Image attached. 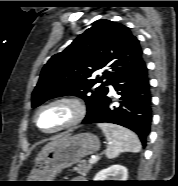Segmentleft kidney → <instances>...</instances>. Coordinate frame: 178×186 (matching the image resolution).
I'll return each instance as SVG.
<instances>
[{"mask_svg":"<svg viewBox=\"0 0 178 186\" xmlns=\"http://www.w3.org/2000/svg\"><path fill=\"white\" fill-rule=\"evenodd\" d=\"M128 172L126 167L122 165H112L106 169L99 171L94 181H127Z\"/></svg>","mask_w":178,"mask_h":186,"instance_id":"left-kidney-1","label":"left kidney"}]
</instances>
